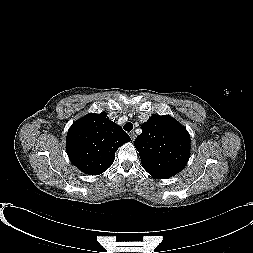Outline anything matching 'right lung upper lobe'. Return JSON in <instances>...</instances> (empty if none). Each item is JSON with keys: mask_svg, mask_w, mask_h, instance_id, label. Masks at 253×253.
Listing matches in <instances>:
<instances>
[{"mask_svg": "<svg viewBox=\"0 0 253 253\" xmlns=\"http://www.w3.org/2000/svg\"><path fill=\"white\" fill-rule=\"evenodd\" d=\"M131 139L106 112L90 113L70 127L66 150L70 161L88 175H99L114 162L115 152Z\"/></svg>", "mask_w": 253, "mask_h": 253, "instance_id": "cb5924a9", "label": "right lung upper lobe"}]
</instances>
